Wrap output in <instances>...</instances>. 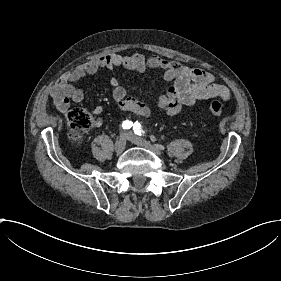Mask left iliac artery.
<instances>
[{
    "label": "left iliac artery",
    "mask_w": 281,
    "mask_h": 281,
    "mask_svg": "<svg viewBox=\"0 0 281 281\" xmlns=\"http://www.w3.org/2000/svg\"><path fill=\"white\" fill-rule=\"evenodd\" d=\"M133 130H134V133H135V134L141 136L142 130H141V125H140V123H138V121H136V122L133 124ZM143 133H144V131H143Z\"/></svg>",
    "instance_id": "1"
}]
</instances>
